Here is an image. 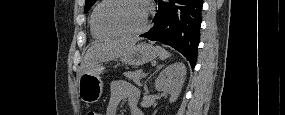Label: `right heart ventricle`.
<instances>
[{
    "mask_svg": "<svg viewBox=\"0 0 285 115\" xmlns=\"http://www.w3.org/2000/svg\"><path fill=\"white\" fill-rule=\"evenodd\" d=\"M93 12H92V14L90 16V31H91L92 37L95 38V39H98V40H106V39L114 38L115 35L102 32L101 30H99L97 28V26L95 25V23L93 21Z\"/></svg>",
    "mask_w": 285,
    "mask_h": 115,
    "instance_id": "right-heart-ventricle-1",
    "label": "right heart ventricle"
}]
</instances>
